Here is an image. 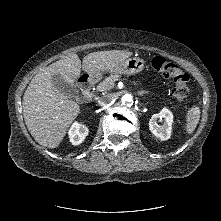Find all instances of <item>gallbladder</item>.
Instances as JSON below:
<instances>
[{
    "label": "gallbladder",
    "mask_w": 221,
    "mask_h": 221,
    "mask_svg": "<svg viewBox=\"0 0 221 221\" xmlns=\"http://www.w3.org/2000/svg\"><path fill=\"white\" fill-rule=\"evenodd\" d=\"M55 88L64 95L74 96L76 89L73 85L68 84L60 74H55L52 78Z\"/></svg>",
    "instance_id": "obj_1"
}]
</instances>
